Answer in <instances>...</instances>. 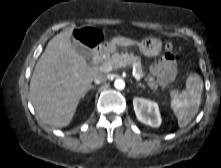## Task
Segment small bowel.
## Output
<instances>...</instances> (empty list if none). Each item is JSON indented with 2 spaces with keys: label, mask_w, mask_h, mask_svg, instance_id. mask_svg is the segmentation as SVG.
Segmentation results:
<instances>
[{
  "label": "small bowel",
  "mask_w": 221,
  "mask_h": 168,
  "mask_svg": "<svg viewBox=\"0 0 221 168\" xmlns=\"http://www.w3.org/2000/svg\"><path fill=\"white\" fill-rule=\"evenodd\" d=\"M177 56L174 53H165L150 67L151 74L156 78V83L165 86L177 77Z\"/></svg>",
  "instance_id": "obj_1"
}]
</instances>
